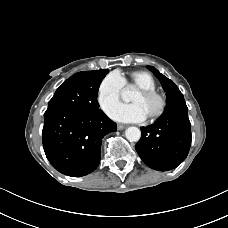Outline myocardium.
Returning <instances> with one entry per match:
<instances>
[{"mask_svg":"<svg viewBox=\"0 0 228 228\" xmlns=\"http://www.w3.org/2000/svg\"><path fill=\"white\" fill-rule=\"evenodd\" d=\"M137 92L146 98H156L159 101V107L157 111L148 116L149 120L154 121L163 115L167 107V98L163 93L157 91L156 89L146 88H139Z\"/></svg>","mask_w":228,"mask_h":228,"instance_id":"1","label":"myocardium"}]
</instances>
